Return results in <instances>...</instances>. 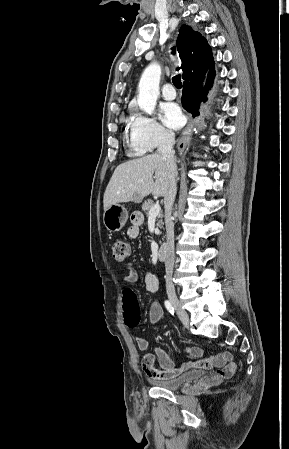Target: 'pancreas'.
I'll return each mask as SVG.
<instances>
[{
	"label": "pancreas",
	"mask_w": 289,
	"mask_h": 449,
	"mask_svg": "<svg viewBox=\"0 0 289 449\" xmlns=\"http://www.w3.org/2000/svg\"><path fill=\"white\" fill-rule=\"evenodd\" d=\"M154 202L152 201V200H146L143 204H142V210L144 211V213L146 214V215H149V211H150V209L152 208V207H154ZM159 218H160V220L157 222V226L158 227H162L163 226V221H162V218H163V214H159V216H158Z\"/></svg>",
	"instance_id": "obj_1"
}]
</instances>
